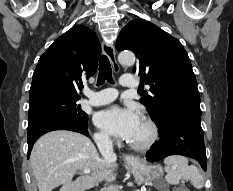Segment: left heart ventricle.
I'll list each match as a JSON object with an SVG mask.
<instances>
[{
    "label": "left heart ventricle",
    "instance_id": "b2bd125f",
    "mask_svg": "<svg viewBox=\"0 0 233 191\" xmlns=\"http://www.w3.org/2000/svg\"><path fill=\"white\" fill-rule=\"evenodd\" d=\"M149 137H150V128L144 121L141 120L139 126L137 127L136 131L134 132L129 142L136 144H143L149 139Z\"/></svg>",
    "mask_w": 233,
    "mask_h": 191
}]
</instances>
